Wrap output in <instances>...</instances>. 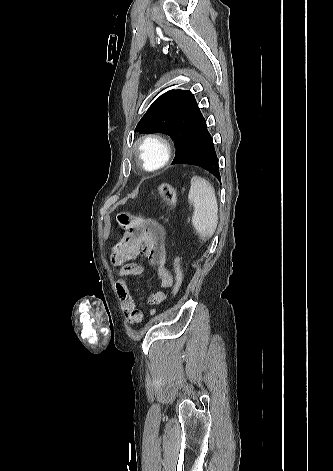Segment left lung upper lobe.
<instances>
[{
    "label": "left lung upper lobe",
    "instance_id": "5c2ea615",
    "mask_svg": "<svg viewBox=\"0 0 333 471\" xmlns=\"http://www.w3.org/2000/svg\"><path fill=\"white\" fill-rule=\"evenodd\" d=\"M203 120L190 91L171 90L153 102L137 124L135 132L165 133L171 136L175 142L176 156L187 145Z\"/></svg>",
    "mask_w": 333,
    "mask_h": 471
}]
</instances>
